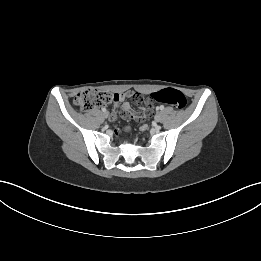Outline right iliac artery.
I'll list each match as a JSON object with an SVG mask.
<instances>
[{
    "label": "right iliac artery",
    "instance_id": "obj_1",
    "mask_svg": "<svg viewBox=\"0 0 261 261\" xmlns=\"http://www.w3.org/2000/svg\"><path fill=\"white\" fill-rule=\"evenodd\" d=\"M102 111H103V112H106V108H102Z\"/></svg>",
    "mask_w": 261,
    "mask_h": 261
}]
</instances>
